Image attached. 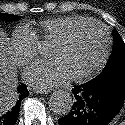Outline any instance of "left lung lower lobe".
I'll return each instance as SVG.
<instances>
[{
	"label": "left lung lower lobe",
	"instance_id": "1",
	"mask_svg": "<svg viewBox=\"0 0 125 125\" xmlns=\"http://www.w3.org/2000/svg\"><path fill=\"white\" fill-rule=\"evenodd\" d=\"M71 112L59 125H108L119 113L125 98V72L97 82H86L72 90Z\"/></svg>",
	"mask_w": 125,
	"mask_h": 125
}]
</instances>
